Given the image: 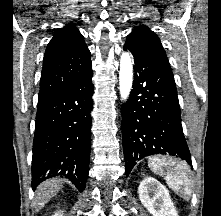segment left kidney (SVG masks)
I'll list each match as a JSON object with an SVG mask.
<instances>
[{
  "label": "left kidney",
  "instance_id": "obj_1",
  "mask_svg": "<svg viewBox=\"0 0 221 216\" xmlns=\"http://www.w3.org/2000/svg\"><path fill=\"white\" fill-rule=\"evenodd\" d=\"M138 193L142 205L153 216H178L169 191L153 177L140 182Z\"/></svg>",
  "mask_w": 221,
  "mask_h": 216
}]
</instances>
